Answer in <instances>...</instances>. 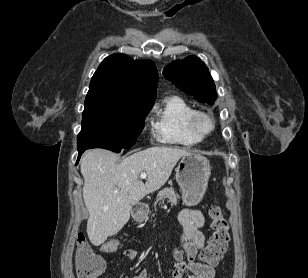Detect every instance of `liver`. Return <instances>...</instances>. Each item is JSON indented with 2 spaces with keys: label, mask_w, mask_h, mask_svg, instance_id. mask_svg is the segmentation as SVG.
Segmentation results:
<instances>
[{
  "label": "liver",
  "mask_w": 308,
  "mask_h": 278,
  "mask_svg": "<svg viewBox=\"0 0 308 278\" xmlns=\"http://www.w3.org/2000/svg\"><path fill=\"white\" fill-rule=\"evenodd\" d=\"M189 151L155 146L117 162V154L105 149L88 150L81 160L83 199L89 212L87 234L95 246L118 233L130 219L132 205L160 189L179 159ZM145 172V184L139 174ZM117 191V192H116Z\"/></svg>",
  "instance_id": "obj_1"
}]
</instances>
